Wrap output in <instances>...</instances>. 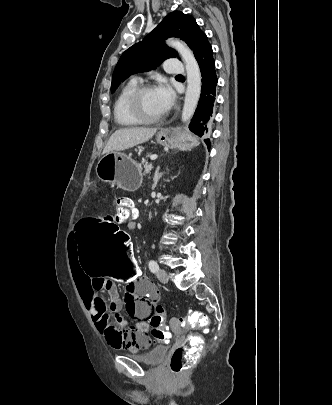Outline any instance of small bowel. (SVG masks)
<instances>
[{
    "instance_id": "1",
    "label": "small bowel",
    "mask_w": 332,
    "mask_h": 405,
    "mask_svg": "<svg viewBox=\"0 0 332 405\" xmlns=\"http://www.w3.org/2000/svg\"><path fill=\"white\" fill-rule=\"evenodd\" d=\"M126 223L129 227V221ZM77 242L78 228L70 236L68 259L75 284L97 330L115 349L130 348L131 353H148L153 339L142 337L151 335L146 318L158 306L160 288H148L151 286L149 281L141 278L140 282H132L131 287H126L122 300L113 281H104L103 275H85L82 262L77 260ZM102 290L109 295L108 304L100 296ZM121 309L136 320L134 324L127 325L117 314L112 321V313Z\"/></svg>"
}]
</instances>
